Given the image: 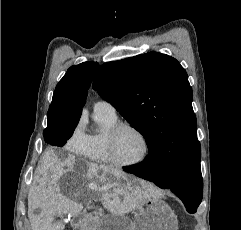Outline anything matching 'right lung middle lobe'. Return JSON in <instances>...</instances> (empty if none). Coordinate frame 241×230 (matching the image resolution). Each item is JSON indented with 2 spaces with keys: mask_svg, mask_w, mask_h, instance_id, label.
Returning a JSON list of instances; mask_svg holds the SVG:
<instances>
[{
  "mask_svg": "<svg viewBox=\"0 0 241 230\" xmlns=\"http://www.w3.org/2000/svg\"><path fill=\"white\" fill-rule=\"evenodd\" d=\"M78 121H52L48 122L44 130L45 142L53 146L62 147L72 136Z\"/></svg>",
  "mask_w": 241,
  "mask_h": 230,
  "instance_id": "right-lung-middle-lobe-1",
  "label": "right lung middle lobe"
}]
</instances>
